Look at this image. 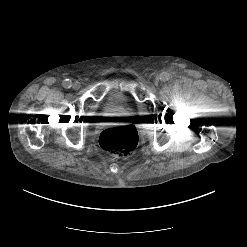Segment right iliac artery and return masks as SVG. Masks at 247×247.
Returning <instances> with one entry per match:
<instances>
[{"instance_id":"obj_1","label":"right iliac artery","mask_w":247,"mask_h":247,"mask_svg":"<svg viewBox=\"0 0 247 247\" xmlns=\"http://www.w3.org/2000/svg\"><path fill=\"white\" fill-rule=\"evenodd\" d=\"M63 86L65 88H70L72 86V82L69 79L64 80Z\"/></svg>"}]
</instances>
